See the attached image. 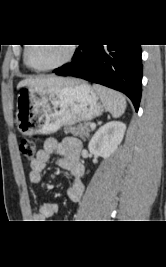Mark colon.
Masks as SVG:
<instances>
[{
    "instance_id": "obj_1",
    "label": "colon",
    "mask_w": 166,
    "mask_h": 267,
    "mask_svg": "<svg viewBox=\"0 0 166 267\" xmlns=\"http://www.w3.org/2000/svg\"><path fill=\"white\" fill-rule=\"evenodd\" d=\"M19 150L23 157L33 159L35 156L36 145L30 139H21L19 142Z\"/></svg>"
}]
</instances>
